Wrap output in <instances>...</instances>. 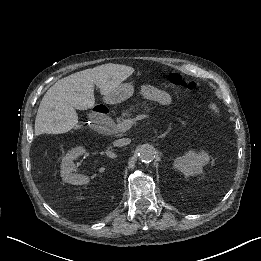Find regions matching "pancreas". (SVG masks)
Here are the masks:
<instances>
[{
    "instance_id": "pancreas-1",
    "label": "pancreas",
    "mask_w": 261,
    "mask_h": 261,
    "mask_svg": "<svg viewBox=\"0 0 261 261\" xmlns=\"http://www.w3.org/2000/svg\"><path fill=\"white\" fill-rule=\"evenodd\" d=\"M146 106L144 104L136 105L133 104L131 107L125 106L123 110L119 113L120 118H116L114 123L118 126L121 124V120L128 121L131 114L139 115L141 111H144Z\"/></svg>"
}]
</instances>
